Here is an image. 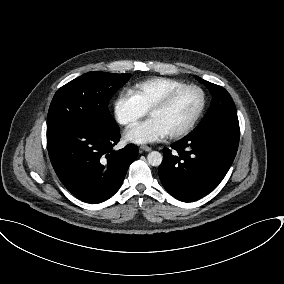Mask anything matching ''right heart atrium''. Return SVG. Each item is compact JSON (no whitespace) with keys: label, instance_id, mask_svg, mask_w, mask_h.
Returning a JSON list of instances; mask_svg holds the SVG:
<instances>
[{"label":"right heart atrium","instance_id":"right-heart-atrium-1","mask_svg":"<svg viewBox=\"0 0 284 284\" xmlns=\"http://www.w3.org/2000/svg\"><path fill=\"white\" fill-rule=\"evenodd\" d=\"M115 120L124 126H131L147 114V109L139 102L132 91H122L114 101Z\"/></svg>","mask_w":284,"mask_h":284}]
</instances>
